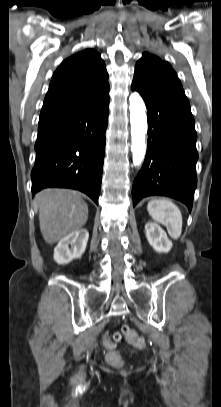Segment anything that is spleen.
<instances>
[{
  "mask_svg": "<svg viewBox=\"0 0 221 407\" xmlns=\"http://www.w3.org/2000/svg\"><path fill=\"white\" fill-rule=\"evenodd\" d=\"M149 215L166 226L169 235L178 239L182 232V214L179 208L168 199H153L147 205Z\"/></svg>",
  "mask_w": 221,
  "mask_h": 407,
  "instance_id": "3e777b00",
  "label": "spleen"
}]
</instances>
